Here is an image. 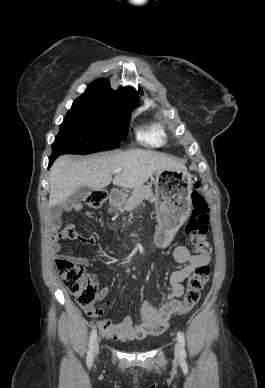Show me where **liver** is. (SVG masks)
Here are the masks:
<instances>
[{"label": "liver", "mask_w": 265, "mask_h": 388, "mask_svg": "<svg viewBox=\"0 0 265 388\" xmlns=\"http://www.w3.org/2000/svg\"><path fill=\"white\" fill-rule=\"evenodd\" d=\"M115 168H122V172L112 180ZM160 170L186 168L180 162H174L150 150H128L115 156H91L86 160L60 156L50 170L48 208L63 204L83 186L101 190L113 182L115 186L133 190L143 186L154 172Z\"/></svg>", "instance_id": "6515ba94"}]
</instances>
